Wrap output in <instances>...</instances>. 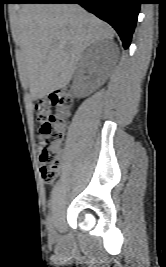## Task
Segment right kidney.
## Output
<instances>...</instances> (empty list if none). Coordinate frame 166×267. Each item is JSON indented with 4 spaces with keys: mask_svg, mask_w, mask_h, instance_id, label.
Instances as JSON below:
<instances>
[{
    "mask_svg": "<svg viewBox=\"0 0 166 267\" xmlns=\"http://www.w3.org/2000/svg\"><path fill=\"white\" fill-rule=\"evenodd\" d=\"M104 45L100 42L92 44L82 56L80 62V69L77 73V82L75 85L76 90L79 91L80 95L86 96L95 90V82L84 76L85 69L89 66H93L97 74L102 71V65L99 64L101 58L105 56Z\"/></svg>",
    "mask_w": 166,
    "mask_h": 267,
    "instance_id": "1",
    "label": "right kidney"
}]
</instances>
